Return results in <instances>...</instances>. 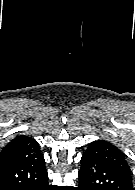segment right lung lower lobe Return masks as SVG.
Segmentation results:
<instances>
[{
  "instance_id": "obj_1",
  "label": "right lung lower lobe",
  "mask_w": 135,
  "mask_h": 190,
  "mask_svg": "<svg viewBox=\"0 0 135 190\" xmlns=\"http://www.w3.org/2000/svg\"><path fill=\"white\" fill-rule=\"evenodd\" d=\"M0 190H52L43 156L0 162Z\"/></svg>"
}]
</instances>
